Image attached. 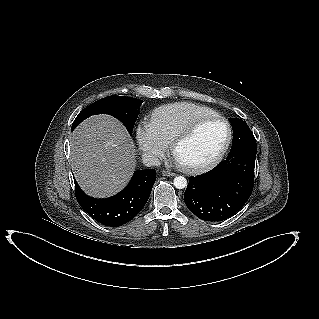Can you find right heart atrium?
<instances>
[{"label":"right heart atrium","instance_id":"d8ad5b80","mask_svg":"<svg viewBox=\"0 0 319 319\" xmlns=\"http://www.w3.org/2000/svg\"><path fill=\"white\" fill-rule=\"evenodd\" d=\"M135 137L143 156L151 163H157L168 150V143L156 133L149 122L137 124Z\"/></svg>","mask_w":319,"mask_h":319}]
</instances>
